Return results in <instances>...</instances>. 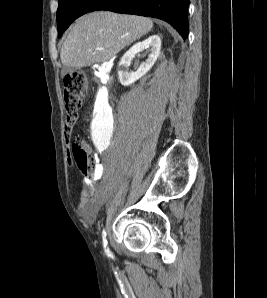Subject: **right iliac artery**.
I'll return each instance as SVG.
<instances>
[{
  "mask_svg": "<svg viewBox=\"0 0 267 298\" xmlns=\"http://www.w3.org/2000/svg\"><path fill=\"white\" fill-rule=\"evenodd\" d=\"M106 235H107L106 230L103 229V231H102V241H103L104 251H105L107 257L113 259L114 257H113V254H112V252L110 251V249L108 247V242H107V239H106Z\"/></svg>",
  "mask_w": 267,
  "mask_h": 298,
  "instance_id": "obj_1",
  "label": "right iliac artery"
}]
</instances>
